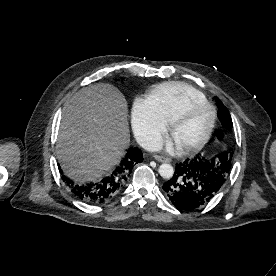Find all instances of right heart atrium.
I'll use <instances>...</instances> for the list:
<instances>
[{
  "label": "right heart atrium",
  "mask_w": 276,
  "mask_h": 276,
  "mask_svg": "<svg viewBox=\"0 0 276 276\" xmlns=\"http://www.w3.org/2000/svg\"><path fill=\"white\" fill-rule=\"evenodd\" d=\"M132 121L136 137L146 148L153 149L160 144L167 123L155 113L147 100L135 101Z\"/></svg>",
  "instance_id": "1"
}]
</instances>
